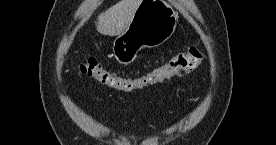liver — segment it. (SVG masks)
<instances>
[{"label": "liver", "mask_w": 276, "mask_h": 145, "mask_svg": "<svg viewBox=\"0 0 276 145\" xmlns=\"http://www.w3.org/2000/svg\"><path fill=\"white\" fill-rule=\"evenodd\" d=\"M141 0H121L98 16L97 31L103 35L116 36L123 33Z\"/></svg>", "instance_id": "6515ba94"}]
</instances>
